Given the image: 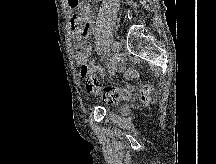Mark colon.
Instances as JSON below:
<instances>
[{
	"mask_svg": "<svg viewBox=\"0 0 216 164\" xmlns=\"http://www.w3.org/2000/svg\"><path fill=\"white\" fill-rule=\"evenodd\" d=\"M81 75L85 79L86 89L90 93H100L102 100L108 104H117L120 101L131 97V90L118 86H108L101 88L100 82L95 74L87 67L81 69ZM139 97L142 101H149L152 95L150 85H142L138 89Z\"/></svg>",
	"mask_w": 216,
	"mask_h": 164,
	"instance_id": "1",
	"label": "colon"
}]
</instances>
